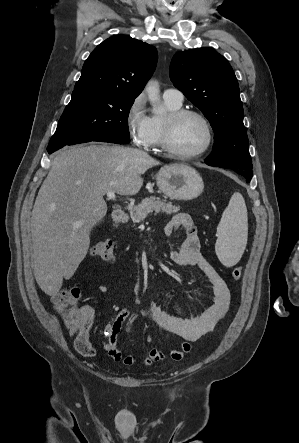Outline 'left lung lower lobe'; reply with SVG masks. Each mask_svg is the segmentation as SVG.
Wrapping results in <instances>:
<instances>
[{
    "mask_svg": "<svg viewBox=\"0 0 299 443\" xmlns=\"http://www.w3.org/2000/svg\"><path fill=\"white\" fill-rule=\"evenodd\" d=\"M206 164L210 165V166H214L210 163H208L207 161H205ZM240 174H242L243 176H245L247 178V182H249L252 178V171L250 169H246L245 172H238Z\"/></svg>",
    "mask_w": 299,
    "mask_h": 443,
    "instance_id": "left-lung-lower-lobe-1",
    "label": "left lung lower lobe"
}]
</instances>
